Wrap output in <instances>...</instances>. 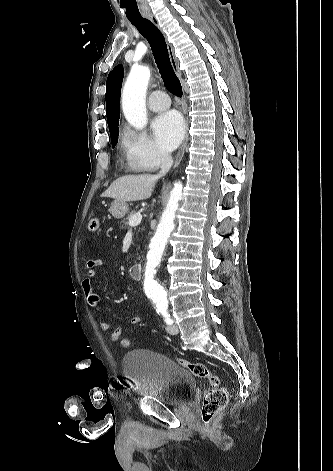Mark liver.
<instances>
[{
	"instance_id": "6515ba94",
	"label": "liver",
	"mask_w": 333,
	"mask_h": 471,
	"mask_svg": "<svg viewBox=\"0 0 333 471\" xmlns=\"http://www.w3.org/2000/svg\"><path fill=\"white\" fill-rule=\"evenodd\" d=\"M158 179L151 174L122 176L113 181L102 196L125 202L145 200L151 196Z\"/></svg>"
}]
</instances>
